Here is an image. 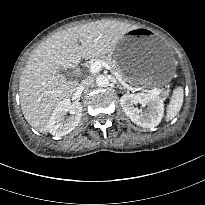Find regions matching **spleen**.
<instances>
[{
	"instance_id": "3e777b00",
	"label": "spleen",
	"mask_w": 205,
	"mask_h": 205,
	"mask_svg": "<svg viewBox=\"0 0 205 205\" xmlns=\"http://www.w3.org/2000/svg\"><path fill=\"white\" fill-rule=\"evenodd\" d=\"M183 88L177 87L173 91L170 103L167 107L166 121L172 120L180 111L183 104Z\"/></svg>"
}]
</instances>
